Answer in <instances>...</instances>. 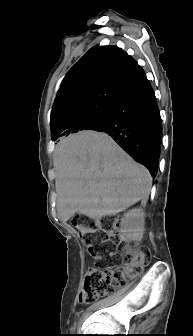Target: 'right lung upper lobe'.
I'll return each mask as SVG.
<instances>
[{
	"label": "right lung upper lobe",
	"instance_id": "right-lung-upper-lobe-1",
	"mask_svg": "<svg viewBox=\"0 0 193 336\" xmlns=\"http://www.w3.org/2000/svg\"><path fill=\"white\" fill-rule=\"evenodd\" d=\"M140 66L117 46H95L67 73L52 113L53 140L75 133L74 121L92 111L111 108Z\"/></svg>",
	"mask_w": 193,
	"mask_h": 336
}]
</instances>
